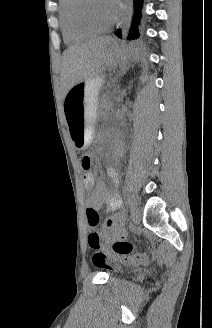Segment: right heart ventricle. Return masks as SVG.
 <instances>
[{
    "mask_svg": "<svg viewBox=\"0 0 212 328\" xmlns=\"http://www.w3.org/2000/svg\"><path fill=\"white\" fill-rule=\"evenodd\" d=\"M76 2V0L59 1L60 24L64 40L68 44L81 42L98 33L78 24L74 17V7Z\"/></svg>",
    "mask_w": 212,
    "mask_h": 328,
    "instance_id": "obj_1",
    "label": "right heart ventricle"
}]
</instances>
